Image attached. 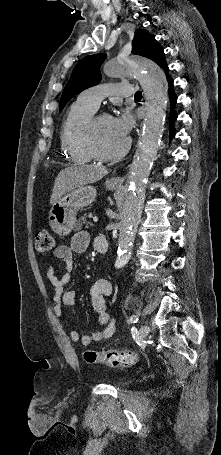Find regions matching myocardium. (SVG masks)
<instances>
[{"instance_id": "obj_1", "label": "myocardium", "mask_w": 221, "mask_h": 455, "mask_svg": "<svg viewBox=\"0 0 221 455\" xmlns=\"http://www.w3.org/2000/svg\"><path fill=\"white\" fill-rule=\"evenodd\" d=\"M101 116L111 117V115H109L107 113H101V114L93 115L89 119V121L87 122V124L85 126V130H84L85 148H86L88 154L90 155V157L97 161L106 162V161L117 160L128 152V150L130 149V146H131V140H130V138H126V141L123 144V146L119 150H117L113 153L103 154V153L99 152L95 145V130H96V123Z\"/></svg>"}]
</instances>
